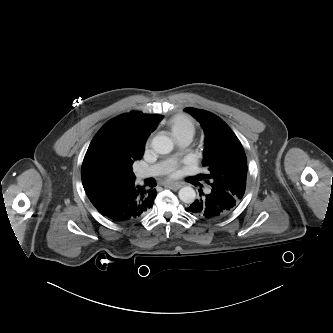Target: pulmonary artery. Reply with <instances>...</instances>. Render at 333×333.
<instances>
[{
    "label": "pulmonary artery",
    "mask_w": 333,
    "mask_h": 333,
    "mask_svg": "<svg viewBox=\"0 0 333 333\" xmlns=\"http://www.w3.org/2000/svg\"><path fill=\"white\" fill-rule=\"evenodd\" d=\"M192 137H193V135H189V134L184 135V136L179 137L177 139V142L182 148H185L191 143ZM170 167L171 166L168 162H163V163H160V164L152 165V166L147 167V168L140 169L137 172L136 176H137L138 180H142L144 178H148V177H152V176L162 174L163 172H166L167 170H169Z\"/></svg>",
    "instance_id": "pulmonary-artery-1"
}]
</instances>
